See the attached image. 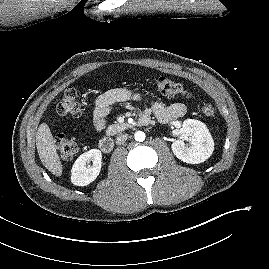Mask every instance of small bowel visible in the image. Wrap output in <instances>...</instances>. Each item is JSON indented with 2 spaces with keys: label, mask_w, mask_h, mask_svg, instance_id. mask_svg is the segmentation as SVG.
Returning a JSON list of instances; mask_svg holds the SVG:
<instances>
[{
  "label": "small bowel",
  "mask_w": 269,
  "mask_h": 269,
  "mask_svg": "<svg viewBox=\"0 0 269 269\" xmlns=\"http://www.w3.org/2000/svg\"><path fill=\"white\" fill-rule=\"evenodd\" d=\"M129 100H141V96L126 89H112L101 94L95 102L93 114L94 126L97 131H101L105 125L106 117L113 106L120 102ZM186 113V106L181 102L171 105H164L157 101L148 103L140 119H149L154 116L159 122L166 123L183 117Z\"/></svg>",
  "instance_id": "c3829d8e"
}]
</instances>
